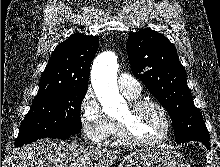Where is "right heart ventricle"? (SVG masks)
Returning a JSON list of instances; mask_svg holds the SVG:
<instances>
[{
    "label": "right heart ventricle",
    "mask_w": 220,
    "mask_h": 167,
    "mask_svg": "<svg viewBox=\"0 0 220 167\" xmlns=\"http://www.w3.org/2000/svg\"><path fill=\"white\" fill-rule=\"evenodd\" d=\"M137 97V96H136ZM136 97H128L129 99H135ZM116 132H117V128H116V125L115 123H113V127H112V130H111V134L114 136V138H117L116 137Z\"/></svg>",
    "instance_id": "right-heart-ventricle-1"
}]
</instances>
